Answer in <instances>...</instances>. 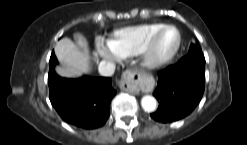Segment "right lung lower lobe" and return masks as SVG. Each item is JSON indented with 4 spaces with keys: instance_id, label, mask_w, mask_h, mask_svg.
Here are the masks:
<instances>
[{
    "instance_id": "right-lung-lower-lobe-1",
    "label": "right lung lower lobe",
    "mask_w": 247,
    "mask_h": 145,
    "mask_svg": "<svg viewBox=\"0 0 247 145\" xmlns=\"http://www.w3.org/2000/svg\"><path fill=\"white\" fill-rule=\"evenodd\" d=\"M56 64L53 52L49 61L48 85L51 104L61 118L84 129L103 126L109 117L110 101L116 94L111 78H62L54 71Z\"/></svg>"
}]
</instances>
